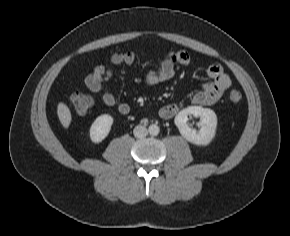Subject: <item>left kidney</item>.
I'll list each match as a JSON object with an SVG mask.
<instances>
[{
    "label": "left kidney",
    "instance_id": "obj_1",
    "mask_svg": "<svg viewBox=\"0 0 290 236\" xmlns=\"http://www.w3.org/2000/svg\"><path fill=\"white\" fill-rule=\"evenodd\" d=\"M193 115L200 118V130L193 129L187 124L188 116ZM175 125L180 134L190 143L195 145H208L215 137L217 127V116L209 108L201 106H189L181 110L175 117Z\"/></svg>",
    "mask_w": 290,
    "mask_h": 236
}]
</instances>
